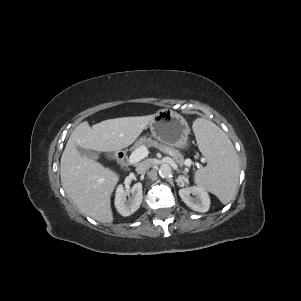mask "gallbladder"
Listing matches in <instances>:
<instances>
[{"label": "gallbladder", "instance_id": "gallbladder-1", "mask_svg": "<svg viewBox=\"0 0 301 301\" xmlns=\"http://www.w3.org/2000/svg\"><path fill=\"white\" fill-rule=\"evenodd\" d=\"M77 149H78V152L80 153V155H82V156H87V157H90L93 159H98V155L91 150L84 149L81 147H77Z\"/></svg>", "mask_w": 301, "mask_h": 301}]
</instances>
